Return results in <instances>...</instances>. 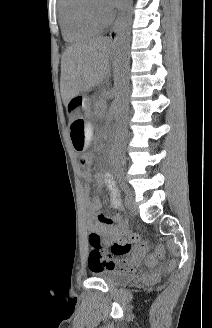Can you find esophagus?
<instances>
[{"label":"esophagus","instance_id":"obj_1","mask_svg":"<svg viewBox=\"0 0 212 328\" xmlns=\"http://www.w3.org/2000/svg\"><path fill=\"white\" fill-rule=\"evenodd\" d=\"M119 26H120V17L118 16L115 23H114V26L110 32V35H109V39L111 42H115L116 39H117V34H118V30H119Z\"/></svg>","mask_w":212,"mask_h":328}]
</instances>
